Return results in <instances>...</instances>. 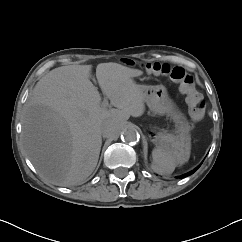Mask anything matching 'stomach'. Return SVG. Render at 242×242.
Segmentation results:
<instances>
[{
  "label": "stomach",
  "instance_id": "obj_1",
  "mask_svg": "<svg viewBox=\"0 0 242 242\" xmlns=\"http://www.w3.org/2000/svg\"><path fill=\"white\" fill-rule=\"evenodd\" d=\"M144 101L149 109L158 115H168L174 121L177 136L157 132L151 136V141L158 149L175 152L180 155V159L187 161L190 153L189 123L168 95L166 87L162 84L155 86H143Z\"/></svg>",
  "mask_w": 242,
  "mask_h": 242
}]
</instances>
